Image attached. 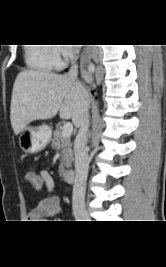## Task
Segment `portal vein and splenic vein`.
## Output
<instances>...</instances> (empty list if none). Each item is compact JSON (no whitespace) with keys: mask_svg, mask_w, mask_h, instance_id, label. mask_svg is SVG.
Here are the masks:
<instances>
[{"mask_svg":"<svg viewBox=\"0 0 166 267\" xmlns=\"http://www.w3.org/2000/svg\"><path fill=\"white\" fill-rule=\"evenodd\" d=\"M73 132V124L71 122H66L63 126L62 136L70 137Z\"/></svg>","mask_w":166,"mask_h":267,"instance_id":"obj_1","label":"portal vein and splenic vein"}]
</instances>
